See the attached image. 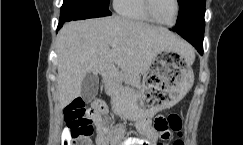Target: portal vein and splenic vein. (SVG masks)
<instances>
[{
	"instance_id": "18ae733b",
	"label": "portal vein and splenic vein",
	"mask_w": 243,
	"mask_h": 145,
	"mask_svg": "<svg viewBox=\"0 0 243 145\" xmlns=\"http://www.w3.org/2000/svg\"><path fill=\"white\" fill-rule=\"evenodd\" d=\"M116 44L117 43L115 41H113V42L110 43V46L114 47V46H116Z\"/></svg>"
}]
</instances>
